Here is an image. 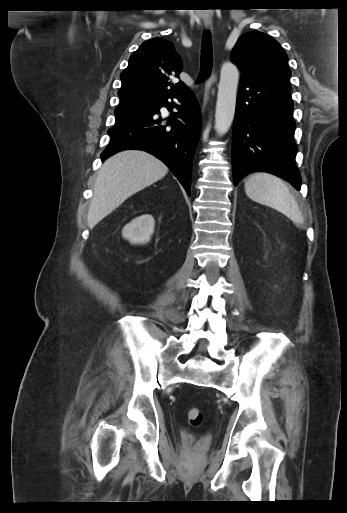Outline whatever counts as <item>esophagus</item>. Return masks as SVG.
Returning <instances> with one entry per match:
<instances>
[{
  "label": "esophagus",
  "mask_w": 347,
  "mask_h": 513,
  "mask_svg": "<svg viewBox=\"0 0 347 513\" xmlns=\"http://www.w3.org/2000/svg\"><path fill=\"white\" fill-rule=\"evenodd\" d=\"M204 26L207 30L213 31V23L211 20H205ZM217 82V73L213 71L211 75L205 81V92H204V106L209 102V93L212 85Z\"/></svg>",
  "instance_id": "esophagus-1"
}]
</instances>
